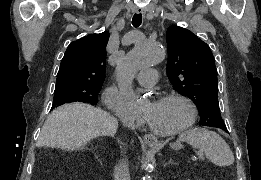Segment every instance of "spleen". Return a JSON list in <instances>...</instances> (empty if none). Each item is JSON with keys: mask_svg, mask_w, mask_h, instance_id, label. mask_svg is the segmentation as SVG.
Returning a JSON list of instances; mask_svg holds the SVG:
<instances>
[{"mask_svg": "<svg viewBox=\"0 0 261 180\" xmlns=\"http://www.w3.org/2000/svg\"><path fill=\"white\" fill-rule=\"evenodd\" d=\"M178 140L179 142H188L193 148L203 150L207 160H210L215 166L226 168V166L234 164L233 152L216 132H210L204 128H190V130L182 132Z\"/></svg>", "mask_w": 261, "mask_h": 180, "instance_id": "3e777b00", "label": "spleen"}]
</instances>
